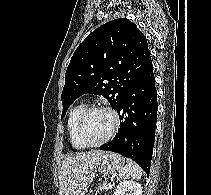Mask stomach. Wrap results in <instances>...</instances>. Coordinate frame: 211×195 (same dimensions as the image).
Here are the masks:
<instances>
[{"label": "stomach", "instance_id": "obj_1", "mask_svg": "<svg viewBox=\"0 0 211 195\" xmlns=\"http://www.w3.org/2000/svg\"><path fill=\"white\" fill-rule=\"evenodd\" d=\"M125 163V158L120 154L114 152H103L100 157L96 160L95 167L92 171L93 180L95 174L100 173L103 175L115 174L122 170Z\"/></svg>", "mask_w": 211, "mask_h": 195}]
</instances>
